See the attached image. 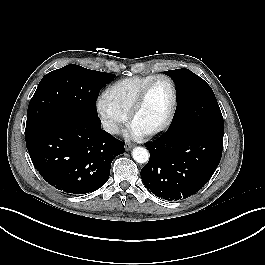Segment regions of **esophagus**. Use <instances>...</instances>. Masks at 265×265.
<instances>
[{"mask_svg": "<svg viewBox=\"0 0 265 265\" xmlns=\"http://www.w3.org/2000/svg\"><path fill=\"white\" fill-rule=\"evenodd\" d=\"M132 147H133V146H132L131 144H126V145H125V149H126V151L131 150Z\"/></svg>", "mask_w": 265, "mask_h": 265, "instance_id": "1", "label": "esophagus"}]
</instances>
